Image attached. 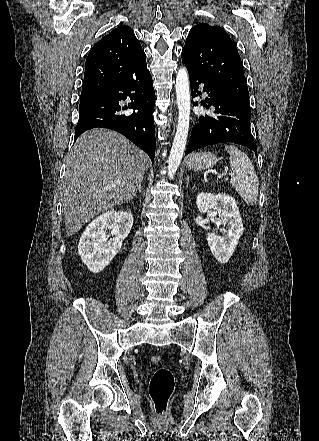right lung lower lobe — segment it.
<instances>
[{
  "mask_svg": "<svg viewBox=\"0 0 319 441\" xmlns=\"http://www.w3.org/2000/svg\"><path fill=\"white\" fill-rule=\"evenodd\" d=\"M134 100L127 107L120 100ZM155 92L148 69L117 82L92 97L80 101L79 119L75 128L76 139L86 130L104 127L115 130L143 149L151 158L155 156V131L152 118ZM137 109L131 115L126 109Z\"/></svg>",
  "mask_w": 319,
  "mask_h": 441,
  "instance_id": "98d812e1",
  "label": "right lung lower lobe"
}]
</instances>
